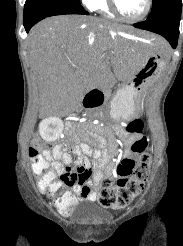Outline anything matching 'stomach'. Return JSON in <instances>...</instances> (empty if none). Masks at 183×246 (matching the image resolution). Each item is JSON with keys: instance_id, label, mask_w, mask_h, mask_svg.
<instances>
[{"instance_id": "0dacf381", "label": "stomach", "mask_w": 183, "mask_h": 246, "mask_svg": "<svg viewBox=\"0 0 183 246\" xmlns=\"http://www.w3.org/2000/svg\"><path fill=\"white\" fill-rule=\"evenodd\" d=\"M142 56L140 69L130 77L110 101V116L114 121L137 116L149 85L161 74L164 60L156 53L152 42H130Z\"/></svg>"}]
</instances>
